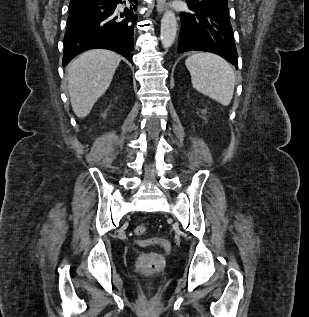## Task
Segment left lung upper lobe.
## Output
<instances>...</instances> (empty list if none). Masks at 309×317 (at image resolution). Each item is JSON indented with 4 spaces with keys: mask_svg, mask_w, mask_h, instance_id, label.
Here are the masks:
<instances>
[{
    "mask_svg": "<svg viewBox=\"0 0 309 317\" xmlns=\"http://www.w3.org/2000/svg\"><path fill=\"white\" fill-rule=\"evenodd\" d=\"M188 5L228 12L227 0H186Z\"/></svg>",
    "mask_w": 309,
    "mask_h": 317,
    "instance_id": "left-lung-upper-lobe-1",
    "label": "left lung upper lobe"
}]
</instances>
